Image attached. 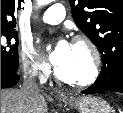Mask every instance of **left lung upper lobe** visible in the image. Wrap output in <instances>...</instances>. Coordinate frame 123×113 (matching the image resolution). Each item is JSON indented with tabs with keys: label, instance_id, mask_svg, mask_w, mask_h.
<instances>
[{
	"label": "left lung upper lobe",
	"instance_id": "left-lung-upper-lobe-1",
	"mask_svg": "<svg viewBox=\"0 0 123 113\" xmlns=\"http://www.w3.org/2000/svg\"><path fill=\"white\" fill-rule=\"evenodd\" d=\"M69 1L76 25L101 54L98 79L111 82L123 70V0Z\"/></svg>",
	"mask_w": 123,
	"mask_h": 113
}]
</instances>
